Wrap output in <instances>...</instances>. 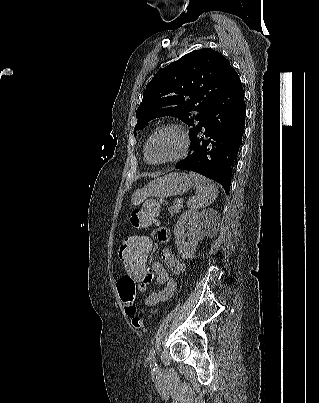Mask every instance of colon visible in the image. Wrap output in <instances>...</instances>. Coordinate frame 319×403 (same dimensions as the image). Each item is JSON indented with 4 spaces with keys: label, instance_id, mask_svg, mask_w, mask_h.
<instances>
[{
    "label": "colon",
    "instance_id": "obj_1",
    "mask_svg": "<svg viewBox=\"0 0 319 403\" xmlns=\"http://www.w3.org/2000/svg\"><path fill=\"white\" fill-rule=\"evenodd\" d=\"M158 214L159 205L151 200L141 209L134 211L130 221L135 227H143ZM140 237L127 238L126 242L119 246L121 270H124L125 276L116 278V289L121 299L120 307L123 308L125 317H129L134 333L143 330V313L138 308L136 296H148V286L142 283V280H145L143 274L149 271L152 261L147 234L142 232Z\"/></svg>",
    "mask_w": 319,
    "mask_h": 403
}]
</instances>
